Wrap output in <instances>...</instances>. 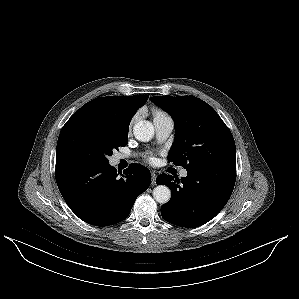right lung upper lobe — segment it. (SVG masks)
Here are the masks:
<instances>
[{
	"instance_id": "obj_1",
	"label": "right lung upper lobe",
	"mask_w": 299,
	"mask_h": 299,
	"mask_svg": "<svg viewBox=\"0 0 299 299\" xmlns=\"http://www.w3.org/2000/svg\"><path fill=\"white\" fill-rule=\"evenodd\" d=\"M148 97L135 95L96 98L78 109L69 120L81 116H95L110 121L119 129L128 130L131 118Z\"/></svg>"
}]
</instances>
